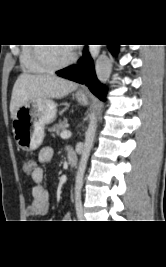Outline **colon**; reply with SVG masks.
<instances>
[{
	"mask_svg": "<svg viewBox=\"0 0 166 267\" xmlns=\"http://www.w3.org/2000/svg\"><path fill=\"white\" fill-rule=\"evenodd\" d=\"M34 166L35 162L33 160H27L23 163V170L26 173H30L34 169Z\"/></svg>",
	"mask_w": 166,
	"mask_h": 267,
	"instance_id": "colon-1",
	"label": "colon"
}]
</instances>
